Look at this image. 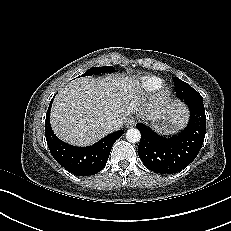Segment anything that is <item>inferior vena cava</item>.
<instances>
[{"label":"inferior vena cava","mask_w":231,"mask_h":231,"mask_svg":"<svg viewBox=\"0 0 231 231\" xmlns=\"http://www.w3.org/2000/svg\"><path fill=\"white\" fill-rule=\"evenodd\" d=\"M123 124H124L123 119L115 118L107 123V129L112 132L121 128Z\"/></svg>","instance_id":"1"}]
</instances>
